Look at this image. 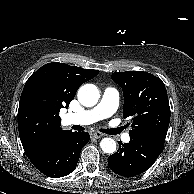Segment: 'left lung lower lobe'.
Wrapping results in <instances>:
<instances>
[{
    "label": "left lung lower lobe",
    "instance_id": "0a47b994",
    "mask_svg": "<svg viewBox=\"0 0 194 194\" xmlns=\"http://www.w3.org/2000/svg\"><path fill=\"white\" fill-rule=\"evenodd\" d=\"M164 142L137 133L130 134V142H119V149L108 158V165L114 173L121 176H137L154 164Z\"/></svg>",
    "mask_w": 194,
    "mask_h": 194
}]
</instances>
